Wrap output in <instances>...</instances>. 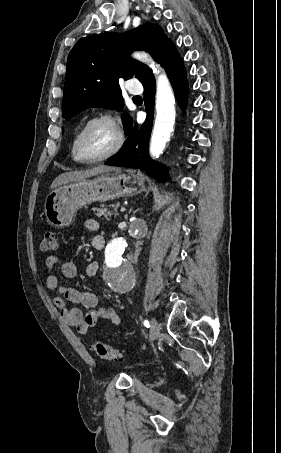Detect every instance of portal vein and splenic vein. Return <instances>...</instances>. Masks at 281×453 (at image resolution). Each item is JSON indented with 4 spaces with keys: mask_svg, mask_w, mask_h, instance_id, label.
Masks as SVG:
<instances>
[{
    "mask_svg": "<svg viewBox=\"0 0 281 453\" xmlns=\"http://www.w3.org/2000/svg\"><path fill=\"white\" fill-rule=\"evenodd\" d=\"M125 211H126V208H125V207H122V208L120 209V212H125Z\"/></svg>",
    "mask_w": 281,
    "mask_h": 453,
    "instance_id": "1",
    "label": "portal vein and splenic vein"
}]
</instances>
